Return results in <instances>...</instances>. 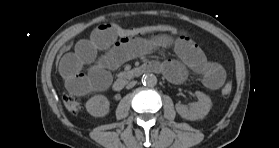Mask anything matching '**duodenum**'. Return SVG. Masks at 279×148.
<instances>
[{"label":"duodenum","mask_w":279,"mask_h":148,"mask_svg":"<svg viewBox=\"0 0 279 148\" xmlns=\"http://www.w3.org/2000/svg\"><path fill=\"white\" fill-rule=\"evenodd\" d=\"M158 70H159V66H158L157 63H154V62L143 63L142 65L133 69L129 74H123L120 77H118L114 81V83L112 85V88L115 91H120L125 87V85L128 83V81L130 79H136V78H139L140 76H142L145 73L155 72V71H158Z\"/></svg>","instance_id":"410a0bca"}]
</instances>
